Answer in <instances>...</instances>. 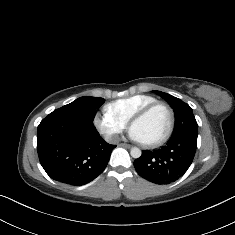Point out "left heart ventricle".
<instances>
[{
	"label": "left heart ventricle",
	"instance_id": "obj_1",
	"mask_svg": "<svg viewBox=\"0 0 235 235\" xmlns=\"http://www.w3.org/2000/svg\"><path fill=\"white\" fill-rule=\"evenodd\" d=\"M169 115L164 109H156L147 117L136 121L132 127L138 132L142 143H150L163 137L169 128Z\"/></svg>",
	"mask_w": 235,
	"mask_h": 235
}]
</instances>
